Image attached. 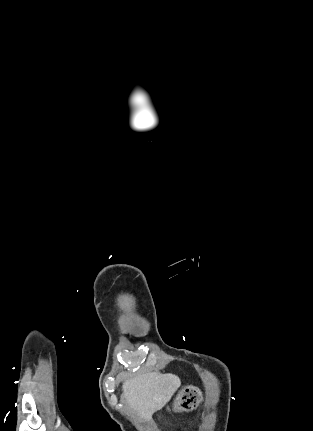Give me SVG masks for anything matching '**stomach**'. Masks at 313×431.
Masks as SVG:
<instances>
[{
  "label": "stomach",
  "mask_w": 313,
  "mask_h": 431,
  "mask_svg": "<svg viewBox=\"0 0 313 431\" xmlns=\"http://www.w3.org/2000/svg\"><path fill=\"white\" fill-rule=\"evenodd\" d=\"M202 393L193 385L184 386L177 394L173 407L175 410L189 412L201 401Z\"/></svg>",
  "instance_id": "0dacf381"
}]
</instances>
